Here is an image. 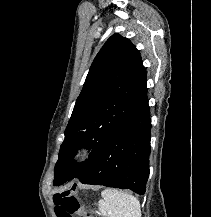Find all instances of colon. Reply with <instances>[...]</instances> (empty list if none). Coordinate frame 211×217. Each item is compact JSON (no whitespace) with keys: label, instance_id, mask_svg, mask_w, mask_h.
Returning a JSON list of instances; mask_svg holds the SVG:
<instances>
[{"label":"colon","instance_id":"colon-1","mask_svg":"<svg viewBox=\"0 0 211 217\" xmlns=\"http://www.w3.org/2000/svg\"><path fill=\"white\" fill-rule=\"evenodd\" d=\"M55 212L58 217H73L79 214L82 217H95L90 212L84 210L75 196V189L64 191L54 196Z\"/></svg>","mask_w":211,"mask_h":217}]
</instances>
